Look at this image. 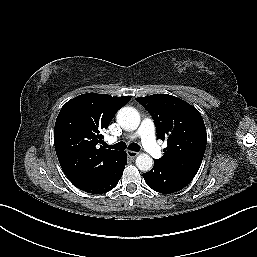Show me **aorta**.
Segmentation results:
<instances>
[{"label":"aorta","mask_w":257,"mask_h":257,"mask_svg":"<svg viewBox=\"0 0 257 257\" xmlns=\"http://www.w3.org/2000/svg\"><path fill=\"white\" fill-rule=\"evenodd\" d=\"M117 122L128 131L137 129L140 124V115L133 107H123L117 113ZM136 166L139 170L147 172L153 166V159L146 153H142L136 158Z\"/></svg>","instance_id":"1"}]
</instances>
